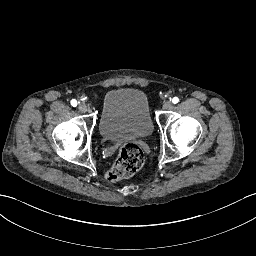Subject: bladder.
I'll use <instances>...</instances> for the list:
<instances>
[{"label": "bladder", "instance_id": "31cf9c89", "mask_svg": "<svg viewBox=\"0 0 256 256\" xmlns=\"http://www.w3.org/2000/svg\"><path fill=\"white\" fill-rule=\"evenodd\" d=\"M100 135L114 141L152 133L148 101L137 89L119 88L106 92L99 121Z\"/></svg>", "mask_w": 256, "mask_h": 256}]
</instances>
